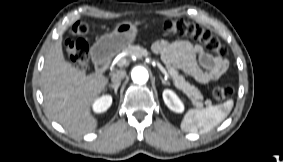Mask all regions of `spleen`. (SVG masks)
I'll return each mask as SVG.
<instances>
[{
	"label": "spleen",
	"mask_w": 283,
	"mask_h": 162,
	"mask_svg": "<svg viewBox=\"0 0 283 162\" xmlns=\"http://www.w3.org/2000/svg\"><path fill=\"white\" fill-rule=\"evenodd\" d=\"M233 100L204 109H189L181 122V129L192 133H206L220 124L231 112Z\"/></svg>",
	"instance_id": "spleen-1"
}]
</instances>
